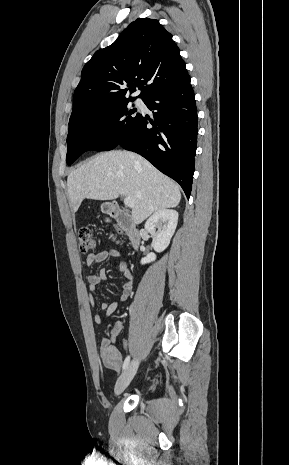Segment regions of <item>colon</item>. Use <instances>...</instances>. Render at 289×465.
I'll use <instances>...</instances> for the list:
<instances>
[{
	"instance_id": "obj_1",
	"label": "colon",
	"mask_w": 289,
	"mask_h": 465,
	"mask_svg": "<svg viewBox=\"0 0 289 465\" xmlns=\"http://www.w3.org/2000/svg\"><path fill=\"white\" fill-rule=\"evenodd\" d=\"M121 230L118 228L115 236H120ZM79 248L82 252H88L95 248L96 241L93 237L92 231L87 227H82L78 231Z\"/></svg>"
}]
</instances>
